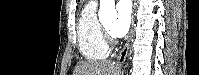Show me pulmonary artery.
<instances>
[{"mask_svg":"<svg viewBox=\"0 0 199 75\" xmlns=\"http://www.w3.org/2000/svg\"><path fill=\"white\" fill-rule=\"evenodd\" d=\"M89 6H96V1H90Z\"/></svg>","mask_w":199,"mask_h":75,"instance_id":"1","label":"pulmonary artery"}]
</instances>
